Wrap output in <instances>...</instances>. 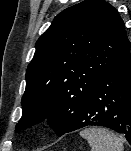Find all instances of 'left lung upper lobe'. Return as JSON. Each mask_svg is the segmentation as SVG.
<instances>
[{
  "instance_id": "obj_1",
  "label": "left lung upper lobe",
  "mask_w": 131,
  "mask_h": 151,
  "mask_svg": "<svg viewBox=\"0 0 131 151\" xmlns=\"http://www.w3.org/2000/svg\"><path fill=\"white\" fill-rule=\"evenodd\" d=\"M128 52L125 25L110 4L85 0L63 10L36 42L16 128L47 117L65 134L102 72Z\"/></svg>"
}]
</instances>
